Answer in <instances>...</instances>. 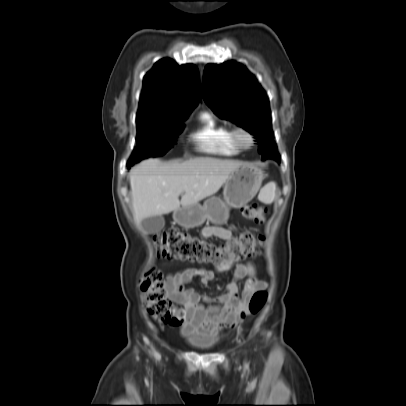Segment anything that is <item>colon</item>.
<instances>
[{
  "mask_svg": "<svg viewBox=\"0 0 406 406\" xmlns=\"http://www.w3.org/2000/svg\"><path fill=\"white\" fill-rule=\"evenodd\" d=\"M243 217L256 223L266 221V211L256 205H245L241 208ZM262 237H255L251 233H242L227 240L223 245L205 242L188 233L168 230L154 235L153 242L158 251V257L168 261H188L210 264L222 267L258 255L263 243ZM141 290L149 314L160 322H167L172 314V304L169 301L162 273L152 268L141 282ZM267 300L265 291L255 292L247 309L241 313L257 314L261 311Z\"/></svg>",
  "mask_w": 406,
  "mask_h": 406,
  "instance_id": "5ec220e1",
  "label": "colon"
}]
</instances>
